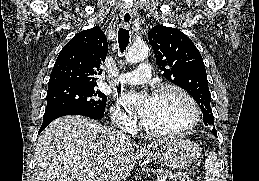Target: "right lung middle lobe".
Wrapping results in <instances>:
<instances>
[{
    "label": "right lung middle lobe",
    "mask_w": 259,
    "mask_h": 181,
    "mask_svg": "<svg viewBox=\"0 0 259 181\" xmlns=\"http://www.w3.org/2000/svg\"><path fill=\"white\" fill-rule=\"evenodd\" d=\"M97 85L63 83L48 86L47 106L43 119L65 109H85L103 113L107 97Z\"/></svg>",
    "instance_id": "1"
}]
</instances>
